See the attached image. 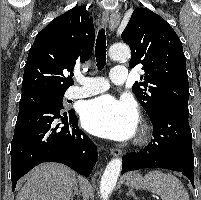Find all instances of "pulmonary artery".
Masks as SVG:
<instances>
[{"instance_id": "e3ab8cb5", "label": "pulmonary artery", "mask_w": 201, "mask_h": 200, "mask_svg": "<svg viewBox=\"0 0 201 200\" xmlns=\"http://www.w3.org/2000/svg\"><path fill=\"white\" fill-rule=\"evenodd\" d=\"M127 69L124 66H115L110 75L114 84H122L127 79ZM79 85L68 89L66 96L70 99L86 98L106 91L109 87L107 81L102 77L77 76Z\"/></svg>"}]
</instances>
